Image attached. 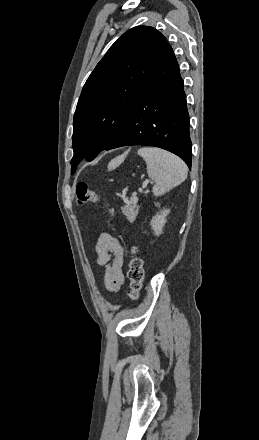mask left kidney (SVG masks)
<instances>
[{"label": "left kidney", "instance_id": "obj_1", "mask_svg": "<svg viewBox=\"0 0 259 440\" xmlns=\"http://www.w3.org/2000/svg\"><path fill=\"white\" fill-rule=\"evenodd\" d=\"M170 213V209H163L157 213L151 220L150 225L154 234L159 236L162 234L163 227L166 223V216Z\"/></svg>", "mask_w": 259, "mask_h": 440}]
</instances>
